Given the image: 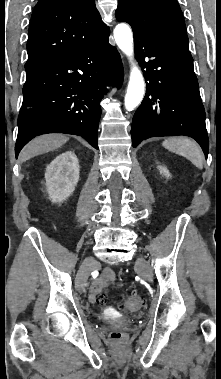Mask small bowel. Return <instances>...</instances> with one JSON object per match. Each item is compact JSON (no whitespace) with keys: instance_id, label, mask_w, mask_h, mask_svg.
<instances>
[{"instance_id":"c3829d8e","label":"small bowel","mask_w":221,"mask_h":379,"mask_svg":"<svg viewBox=\"0 0 221 379\" xmlns=\"http://www.w3.org/2000/svg\"><path fill=\"white\" fill-rule=\"evenodd\" d=\"M108 284L117 285L116 275L111 268H105L103 270L102 277L97 278L93 281L89 289V300L95 303L102 291Z\"/></svg>"}]
</instances>
